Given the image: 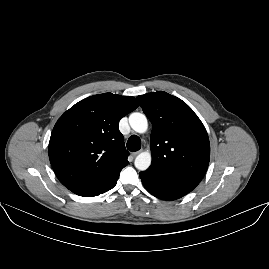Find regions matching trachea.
I'll return each mask as SVG.
<instances>
[{"instance_id": "obj_1", "label": "trachea", "mask_w": 269, "mask_h": 269, "mask_svg": "<svg viewBox=\"0 0 269 269\" xmlns=\"http://www.w3.org/2000/svg\"><path fill=\"white\" fill-rule=\"evenodd\" d=\"M141 148V140L137 135H132L127 141V149L129 151L135 152Z\"/></svg>"}]
</instances>
